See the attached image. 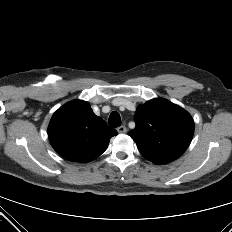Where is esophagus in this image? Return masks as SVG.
Masks as SVG:
<instances>
[{"label":"esophagus","mask_w":232,"mask_h":232,"mask_svg":"<svg viewBox=\"0 0 232 232\" xmlns=\"http://www.w3.org/2000/svg\"><path fill=\"white\" fill-rule=\"evenodd\" d=\"M118 133H125L127 131V128L122 125L117 128Z\"/></svg>","instance_id":"1"}]
</instances>
